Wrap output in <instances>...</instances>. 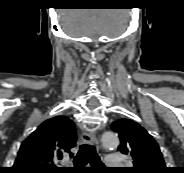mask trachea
I'll return each instance as SVG.
<instances>
[{"label": "trachea", "instance_id": "1", "mask_svg": "<svg viewBox=\"0 0 184 173\" xmlns=\"http://www.w3.org/2000/svg\"><path fill=\"white\" fill-rule=\"evenodd\" d=\"M89 162L93 167L104 168V164L100 160L95 147L83 144L79 147V151L74 158V169H80L83 165Z\"/></svg>", "mask_w": 184, "mask_h": 173}]
</instances>
